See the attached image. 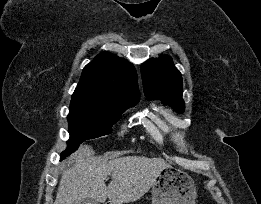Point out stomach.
<instances>
[{
  "label": "stomach",
  "instance_id": "1",
  "mask_svg": "<svg viewBox=\"0 0 261 204\" xmlns=\"http://www.w3.org/2000/svg\"><path fill=\"white\" fill-rule=\"evenodd\" d=\"M152 204H195L197 189L192 177L174 167H165L152 185Z\"/></svg>",
  "mask_w": 261,
  "mask_h": 204
}]
</instances>
